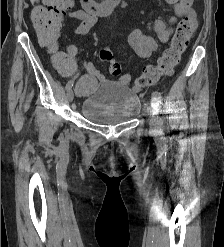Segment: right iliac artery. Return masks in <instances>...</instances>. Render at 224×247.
Listing matches in <instances>:
<instances>
[{
  "instance_id": "82829eb1",
  "label": "right iliac artery",
  "mask_w": 224,
  "mask_h": 247,
  "mask_svg": "<svg viewBox=\"0 0 224 247\" xmlns=\"http://www.w3.org/2000/svg\"><path fill=\"white\" fill-rule=\"evenodd\" d=\"M72 86H73V81H69L66 85V89L69 90L72 88Z\"/></svg>"
}]
</instances>
